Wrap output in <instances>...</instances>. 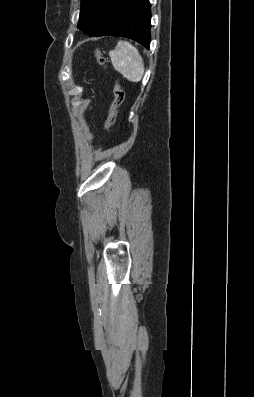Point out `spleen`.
Listing matches in <instances>:
<instances>
[{"label": "spleen", "instance_id": "spleen-1", "mask_svg": "<svg viewBox=\"0 0 254 397\" xmlns=\"http://www.w3.org/2000/svg\"><path fill=\"white\" fill-rule=\"evenodd\" d=\"M112 65L116 71L131 82H140L144 75L143 59L136 47L127 41H119L114 50L109 52Z\"/></svg>", "mask_w": 254, "mask_h": 397}]
</instances>
